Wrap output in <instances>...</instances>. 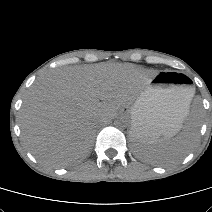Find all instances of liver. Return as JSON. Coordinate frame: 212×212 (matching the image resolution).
<instances>
[{
	"label": "liver",
	"mask_w": 212,
	"mask_h": 212,
	"mask_svg": "<svg viewBox=\"0 0 212 212\" xmlns=\"http://www.w3.org/2000/svg\"><path fill=\"white\" fill-rule=\"evenodd\" d=\"M153 74L134 64L55 69L37 79L19 115L25 147L41 163L65 167L86 156L97 125L131 105Z\"/></svg>",
	"instance_id": "6515ba94"
}]
</instances>
